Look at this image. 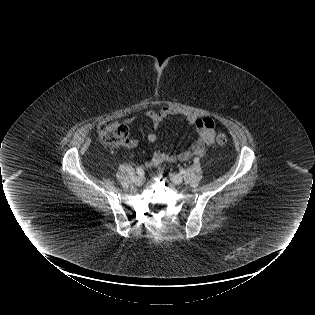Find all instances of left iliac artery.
Instances as JSON below:
<instances>
[{
	"label": "left iliac artery",
	"mask_w": 315,
	"mask_h": 315,
	"mask_svg": "<svg viewBox=\"0 0 315 315\" xmlns=\"http://www.w3.org/2000/svg\"><path fill=\"white\" fill-rule=\"evenodd\" d=\"M194 162H195L196 164L199 163V159L196 158V159L194 160ZM184 173H185V171H184V170H181V174H184Z\"/></svg>",
	"instance_id": "obj_1"
}]
</instances>
